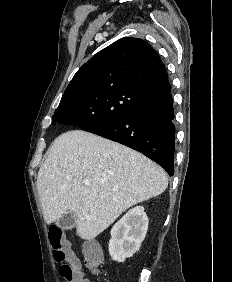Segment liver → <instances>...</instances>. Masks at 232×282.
I'll return each instance as SVG.
<instances>
[{"label": "liver", "instance_id": "1", "mask_svg": "<svg viewBox=\"0 0 232 282\" xmlns=\"http://www.w3.org/2000/svg\"><path fill=\"white\" fill-rule=\"evenodd\" d=\"M167 186L165 171L146 156L83 130L58 136L37 176L45 222L74 212L77 235L86 240Z\"/></svg>", "mask_w": 232, "mask_h": 282}]
</instances>
